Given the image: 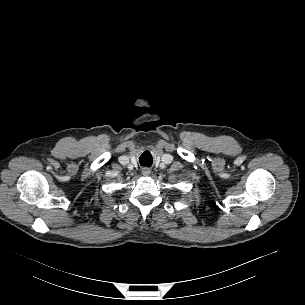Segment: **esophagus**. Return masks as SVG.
I'll list each match as a JSON object with an SVG mask.
<instances>
[{
  "label": "esophagus",
  "instance_id": "obj_1",
  "mask_svg": "<svg viewBox=\"0 0 305 305\" xmlns=\"http://www.w3.org/2000/svg\"><path fill=\"white\" fill-rule=\"evenodd\" d=\"M142 174H143L144 176H148V175L150 174V170H149V169H143V170H142Z\"/></svg>",
  "mask_w": 305,
  "mask_h": 305
}]
</instances>
